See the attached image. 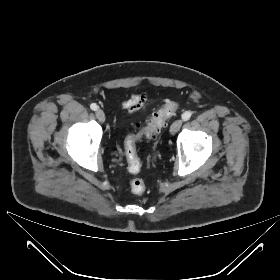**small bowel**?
I'll use <instances>...</instances> for the list:
<instances>
[{"label":"small bowel","mask_w":280,"mask_h":280,"mask_svg":"<svg viewBox=\"0 0 280 280\" xmlns=\"http://www.w3.org/2000/svg\"><path fill=\"white\" fill-rule=\"evenodd\" d=\"M151 103L149 94L146 91L132 94L127 100L121 103V108L129 113L144 111Z\"/></svg>","instance_id":"1"}]
</instances>
